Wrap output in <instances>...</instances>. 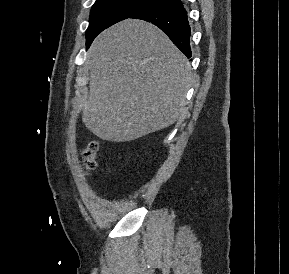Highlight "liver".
<instances>
[{"label": "liver", "instance_id": "liver-1", "mask_svg": "<svg viewBox=\"0 0 289 274\" xmlns=\"http://www.w3.org/2000/svg\"><path fill=\"white\" fill-rule=\"evenodd\" d=\"M86 128L102 140L129 142L186 114L191 67L156 26L127 19L99 34L88 54Z\"/></svg>", "mask_w": 289, "mask_h": 274}]
</instances>
